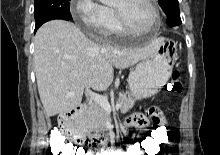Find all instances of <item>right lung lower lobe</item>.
<instances>
[{"label": "right lung lower lobe", "mask_w": 220, "mask_h": 155, "mask_svg": "<svg viewBox=\"0 0 220 155\" xmlns=\"http://www.w3.org/2000/svg\"><path fill=\"white\" fill-rule=\"evenodd\" d=\"M64 20H70V19H64ZM40 26H41V25L36 26L35 32H36V30H37Z\"/></svg>", "instance_id": "obj_1"}]
</instances>
